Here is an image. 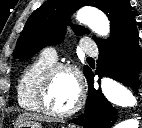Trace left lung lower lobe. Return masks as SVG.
I'll use <instances>...</instances> for the list:
<instances>
[{
	"label": "left lung lower lobe",
	"instance_id": "0a47b994",
	"mask_svg": "<svg viewBox=\"0 0 142 128\" xmlns=\"http://www.w3.org/2000/svg\"><path fill=\"white\" fill-rule=\"evenodd\" d=\"M136 22L122 33L98 46L99 60L96 75L108 76L124 83L137 91L140 84L139 73L142 69L141 48L138 44ZM89 85V96L84 116L72 122L84 128H112L118 113L112 104L103 96L101 90L93 87L94 73L89 70L86 74ZM100 82V81H98Z\"/></svg>",
	"mask_w": 142,
	"mask_h": 128
}]
</instances>
